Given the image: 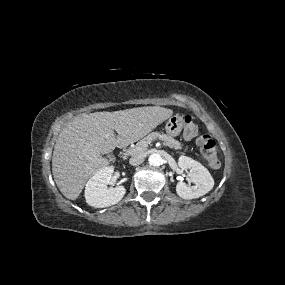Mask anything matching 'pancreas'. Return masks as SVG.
Instances as JSON below:
<instances>
[{"mask_svg":"<svg viewBox=\"0 0 285 285\" xmlns=\"http://www.w3.org/2000/svg\"><path fill=\"white\" fill-rule=\"evenodd\" d=\"M157 139L163 141L167 146H169L170 148H174L175 150L181 149L183 146L179 141L175 140L173 137L167 134L152 132L148 136L140 140L134 147L129 148L126 151V155L133 156L143 154L147 150L148 144Z\"/></svg>","mask_w":285,"mask_h":285,"instance_id":"pancreas-1","label":"pancreas"}]
</instances>
